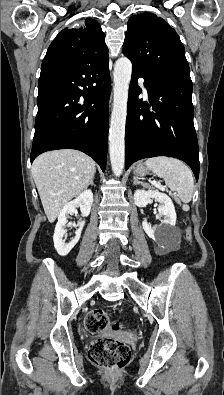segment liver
<instances>
[{
	"label": "liver",
	"mask_w": 224,
	"mask_h": 395,
	"mask_svg": "<svg viewBox=\"0 0 224 395\" xmlns=\"http://www.w3.org/2000/svg\"><path fill=\"white\" fill-rule=\"evenodd\" d=\"M31 172L48 221L53 223L63 207L88 187L96 167L88 155L61 149L39 155Z\"/></svg>",
	"instance_id": "liver-1"
}]
</instances>
